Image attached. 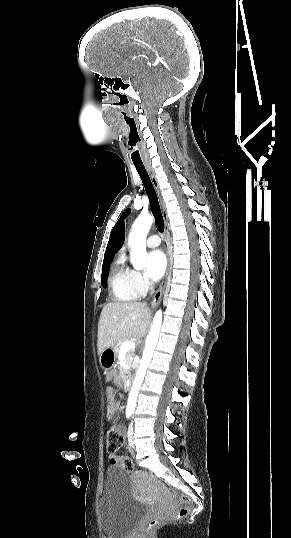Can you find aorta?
<instances>
[{
  "instance_id": "762f6f07",
  "label": "aorta",
  "mask_w": 291,
  "mask_h": 538,
  "mask_svg": "<svg viewBox=\"0 0 291 538\" xmlns=\"http://www.w3.org/2000/svg\"><path fill=\"white\" fill-rule=\"evenodd\" d=\"M152 223V216L148 214H140L133 224L132 232L129 235L128 244L131 246V263L135 269H142L144 267L146 257V237ZM161 325L162 311L158 310L153 318L149 334L146 338L143 355L129 393L126 406L127 414H133L135 411L137 396L158 342Z\"/></svg>"
}]
</instances>
